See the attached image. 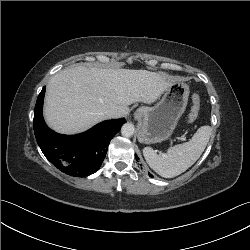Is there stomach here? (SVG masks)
Returning a JSON list of instances; mask_svg holds the SVG:
<instances>
[{
  "mask_svg": "<svg viewBox=\"0 0 250 250\" xmlns=\"http://www.w3.org/2000/svg\"><path fill=\"white\" fill-rule=\"evenodd\" d=\"M189 93L187 84L176 81L166 89L155 106L140 107L136 111V115L142 119L139 141L155 144L169 139L185 111Z\"/></svg>",
  "mask_w": 250,
  "mask_h": 250,
  "instance_id": "stomach-1",
  "label": "stomach"
}]
</instances>
